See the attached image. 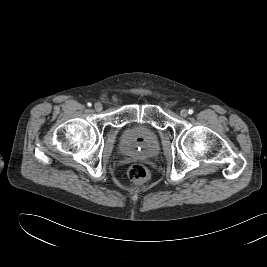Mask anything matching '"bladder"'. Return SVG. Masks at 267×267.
<instances>
[{"mask_svg": "<svg viewBox=\"0 0 267 267\" xmlns=\"http://www.w3.org/2000/svg\"><path fill=\"white\" fill-rule=\"evenodd\" d=\"M120 150L125 155L153 158L160 151L158 133L144 123L127 125L120 136Z\"/></svg>", "mask_w": 267, "mask_h": 267, "instance_id": "obj_1", "label": "bladder"}]
</instances>
